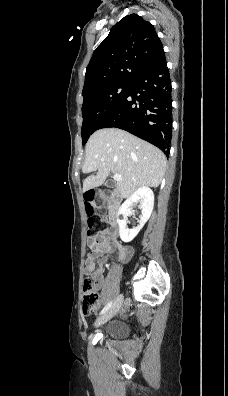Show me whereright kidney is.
Here are the masks:
<instances>
[{
    "instance_id": "right-kidney-1",
    "label": "right kidney",
    "mask_w": 228,
    "mask_h": 396,
    "mask_svg": "<svg viewBox=\"0 0 228 396\" xmlns=\"http://www.w3.org/2000/svg\"><path fill=\"white\" fill-rule=\"evenodd\" d=\"M140 202L141 218L140 225L137 228H127V217L132 214V206L134 203ZM154 206V194L153 191L146 186L138 188L119 208L117 218L119 225V235L123 242H131L142 229L144 224L150 218Z\"/></svg>"
}]
</instances>
